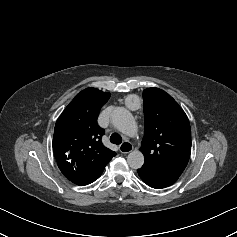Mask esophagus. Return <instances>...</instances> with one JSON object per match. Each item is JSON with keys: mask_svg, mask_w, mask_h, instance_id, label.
Returning <instances> with one entry per match:
<instances>
[{"mask_svg": "<svg viewBox=\"0 0 237 237\" xmlns=\"http://www.w3.org/2000/svg\"><path fill=\"white\" fill-rule=\"evenodd\" d=\"M119 150L123 154L130 153L133 150V145L130 142H124L119 146Z\"/></svg>", "mask_w": 237, "mask_h": 237, "instance_id": "34e87169", "label": "esophagus"}]
</instances>
